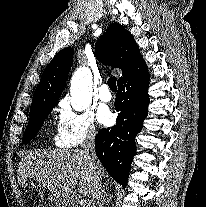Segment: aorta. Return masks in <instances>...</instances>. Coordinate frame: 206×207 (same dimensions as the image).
Returning <instances> with one entry per match:
<instances>
[{"label": "aorta", "mask_w": 206, "mask_h": 207, "mask_svg": "<svg viewBox=\"0 0 206 207\" xmlns=\"http://www.w3.org/2000/svg\"><path fill=\"white\" fill-rule=\"evenodd\" d=\"M71 105L75 111L87 109L92 101V76L87 68L78 69L71 80Z\"/></svg>", "instance_id": "762f6f07"}]
</instances>
